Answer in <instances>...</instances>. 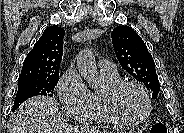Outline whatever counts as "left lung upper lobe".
Listing matches in <instances>:
<instances>
[{"instance_id": "obj_1", "label": "left lung upper lobe", "mask_w": 184, "mask_h": 133, "mask_svg": "<svg viewBox=\"0 0 184 133\" xmlns=\"http://www.w3.org/2000/svg\"><path fill=\"white\" fill-rule=\"evenodd\" d=\"M111 38L122 68L151 90L155 99L160 91V84L154 60L142 38L129 26L116 27Z\"/></svg>"}]
</instances>
